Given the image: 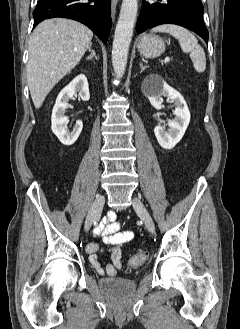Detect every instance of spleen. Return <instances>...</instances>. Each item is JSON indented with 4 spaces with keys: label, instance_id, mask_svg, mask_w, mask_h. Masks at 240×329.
<instances>
[{
    "label": "spleen",
    "instance_id": "obj_1",
    "mask_svg": "<svg viewBox=\"0 0 240 329\" xmlns=\"http://www.w3.org/2000/svg\"><path fill=\"white\" fill-rule=\"evenodd\" d=\"M151 32L169 33L178 39L184 53H190V58L197 72H204L206 69V57L203 48L198 44L196 37L187 29L174 25L163 24L151 30Z\"/></svg>",
    "mask_w": 240,
    "mask_h": 329
}]
</instances>
